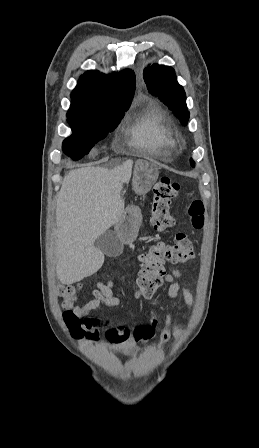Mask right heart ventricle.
<instances>
[{"label": "right heart ventricle", "instance_id": "1", "mask_svg": "<svg viewBox=\"0 0 259 448\" xmlns=\"http://www.w3.org/2000/svg\"><path fill=\"white\" fill-rule=\"evenodd\" d=\"M123 127L131 142L145 150L150 148L174 149V133L164 117L157 112L137 110L127 115ZM136 156V155H134Z\"/></svg>", "mask_w": 259, "mask_h": 448}]
</instances>
